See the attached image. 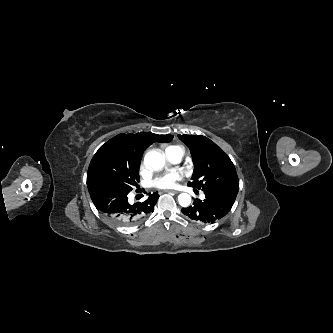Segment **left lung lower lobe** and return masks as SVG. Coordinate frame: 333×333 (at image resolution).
I'll list each match as a JSON object with an SVG mask.
<instances>
[{"label":"left lung lower lobe","instance_id":"left-lung-lower-lobe-1","mask_svg":"<svg viewBox=\"0 0 333 333\" xmlns=\"http://www.w3.org/2000/svg\"><path fill=\"white\" fill-rule=\"evenodd\" d=\"M235 199L233 195L205 194L203 201L197 199L192 206L182 208V212L192 220L214 223L231 210Z\"/></svg>","mask_w":333,"mask_h":333}]
</instances>
